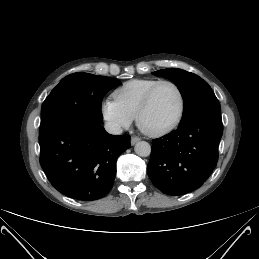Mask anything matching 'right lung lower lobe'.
<instances>
[{
    "label": "right lung lower lobe",
    "instance_id": "obj_1",
    "mask_svg": "<svg viewBox=\"0 0 259 259\" xmlns=\"http://www.w3.org/2000/svg\"><path fill=\"white\" fill-rule=\"evenodd\" d=\"M40 164L52 186L80 201L104 197L112 188L116 160L130 136L110 135L100 123L62 120L40 129Z\"/></svg>",
    "mask_w": 259,
    "mask_h": 259
}]
</instances>
